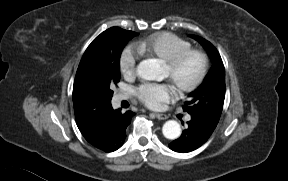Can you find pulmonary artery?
Instances as JSON below:
<instances>
[{
    "mask_svg": "<svg viewBox=\"0 0 288 181\" xmlns=\"http://www.w3.org/2000/svg\"><path fill=\"white\" fill-rule=\"evenodd\" d=\"M123 98H124L123 95H116L115 98H114V100H115V102H119V101H121ZM186 119H187V120H190V117L187 116Z\"/></svg>",
    "mask_w": 288,
    "mask_h": 181,
    "instance_id": "obj_1",
    "label": "pulmonary artery"
}]
</instances>
